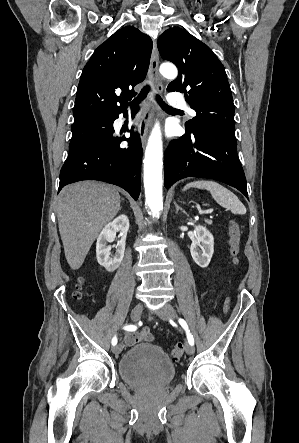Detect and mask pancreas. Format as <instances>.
<instances>
[{
  "instance_id": "1",
  "label": "pancreas",
  "mask_w": 299,
  "mask_h": 443,
  "mask_svg": "<svg viewBox=\"0 0 299 443\" xmlns=\"http://www.w3.org/2000/svg\"><path fill=\"white\" fill-rule=\"evenodd\" d=\"M205 222H206L207 224H209V225L212 224V221H211V220H208V219H206Z\"/></svg>"
}]
</instances>
